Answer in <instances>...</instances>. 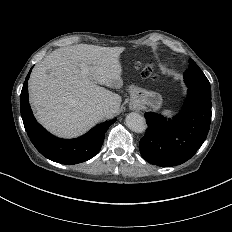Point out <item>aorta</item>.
Segmentation results:
<instances>
[{
	"label": "aorta",
	"instance_id": "aorta-1",
	"mask_svg": "<svg viewBox=\"0 0 232 232\" xmlns=\"http://www.w3.org/2000/svg\"><path fill=\"white\" fill-rule=\"evenodd\" d=\"M126 125L135 133H143L147 127L145 119L138 113H129L126 116Z\"/></svg>",
	"mask_w": 232,
	"mask_h": 232
}]
</instances>
